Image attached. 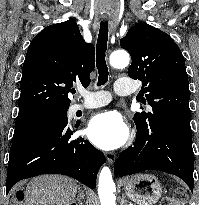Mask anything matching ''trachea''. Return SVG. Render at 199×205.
Listing matches in <instances>:
<instances>
[{
  "instance_id": "obj_1",
  "label": "trachea",
  "mask_w": 199,
  "mask_h": 205,
  "mask_svg": "<svg viewBox=\"0 0 199 205\" xmlns=\"http://www.w3.org/2000/svg\"><path fill=\"white\" fill-rule=\"evenodd\" d=\"M108 41V21L100 23V30L96 45V67L98 69V86L104 85L108 81V67L106 64V50ZM75 93V91L73 92Z\"/></svg>"
}]
</instances>
